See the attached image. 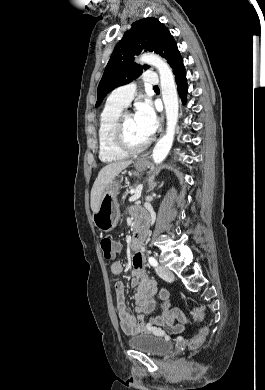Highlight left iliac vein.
I'll use <instances>...</instances> for the list:
<instances>
[{
  "mask_svg": "<svg viewBox=\"0 0 265 390\" xmlns=\"http://www.w3.org/2000/svg\"><path fill=\"white\" fill-rule=\"evenodd\" d=\"M156 273L165 281L172 282L174 280V274L169 269L161 266L155 267Z\"/></svg>",
  "mask_w": 265,
  "mask_h": 390,
  "instance_id": "obj_1",
  "label": "left iliac vein"
}]
</instances>
